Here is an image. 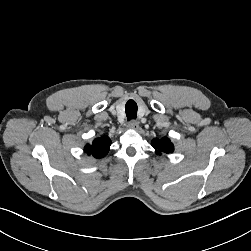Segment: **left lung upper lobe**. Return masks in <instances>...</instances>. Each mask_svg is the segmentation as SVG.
I'll list each match as a JSON object with an SVG mask.
<instances>
[{
  "label": "left lung upper lobe",
  "mask_w": 251,
  "mask_h": 251,
  "mask_svg": "<svg viewBox=\"0 0 251 251\" xmlns=\"http://www.w3.org/2000/svg\"><path fill=\"white\" fill-rule=\"evenodd\" d=\"M151 145L156 150V153L160 155L163 153H171L174 150L173 144L171 143L170 139L167 137L162 138H154L151 141Z\"/></svg>",
  "instance_id": "left-lung-upper-lobe-1"
}]
</instances>
